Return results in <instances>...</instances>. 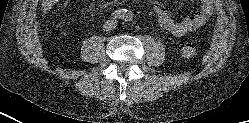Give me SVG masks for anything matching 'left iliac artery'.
<instances>
[{"label":"left iliac artery","instance_id":"obj_1","mask_svg":"<svg viewBox=\"0 0 249 123\" xmlns=\"http://www.w3.org/2000/svg\"><path fill=\"white\" fill-rule=\"evenodd\" d=\"M124 19L125 21H130L132 19V14L130 12H127Z\"/></svg>","mask_w":249,"mask_h":123}]
</instances>
